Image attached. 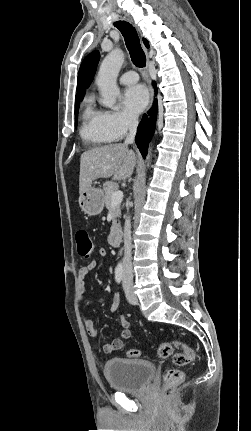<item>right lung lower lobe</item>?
Masks as SVG:
<instances>
[{
  "label": "right lung lower lobe",
  "mask_w": 251,
  "mask_h": 431,
  "mask_svg": "<svg viewBox=\"0 0 251 431\" xmlns=\"http://www.w3.org/2000/svg\"><path fill=\"white\" fill-rule=\"evenodd\" d=\"M154 87L156 88L155 84ZM157 113V100L155 99L154 105L149 112L150 118L147 120V116L144 115L142 121L137 128L136 144L139 148L143 157L146 156L148 143L153 136L155 130V121Z\"/></svg>",
  "instance_id": "obj_1"
}]
</instances>
